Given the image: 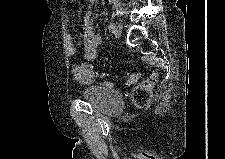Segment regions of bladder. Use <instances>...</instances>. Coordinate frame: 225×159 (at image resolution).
Here are the masks:
<instances>
[{"mask_svg":"<svg viewBox=\"0 0 225 159\" xmlns=\"http://www.w3.org/2000/svg\"><path fill=\"white\" fill-rule=\"evenodd\" d=\"M86 102L105 115L113 116L124 108V98L114 87L102 84H93L83 90Z\"/></svg>","mask_w":225,"mask_h":159,"instance_id":"bladder-1","label":"bladder"}]
</instances>
